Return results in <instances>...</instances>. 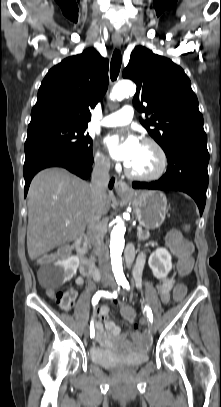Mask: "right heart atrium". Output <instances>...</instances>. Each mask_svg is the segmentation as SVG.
<instances>
[{"label": "right heart atrium", "instance_id": "right-heart-atrium-1", "mask_svg": "<svg viewBox=\"0 0 221 407\" xmlns=\"http://www.w3.org/2000/svg\"><path fill=\"white\" fill-rule=\"evenodd\" d=\"M94 162L98 169L102 171H107L111 167V163L107 157H105L101 152H96L94 156Z\"/></svg>", "mask_w": 221, "mask_h": 407}]
</instances>
